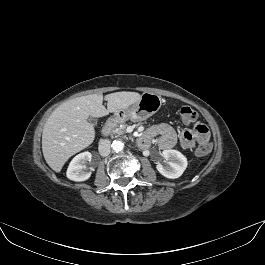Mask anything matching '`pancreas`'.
<instances>
[{"label":"pancreas","instance_id":"obj_1","mask_svg":"<svg viewBox=\"0 0 265 265\" xmlns=\"http://www.w3.org/2000/svg\"><path fill=\"white\" fill-rule=\"evenodd\" d=\"M126 126L125 122L116 123L111 129V134L116 136L124 135L126 133Z\"/></svg>","mask_w":265,"mask_h":265}]
</instances>
